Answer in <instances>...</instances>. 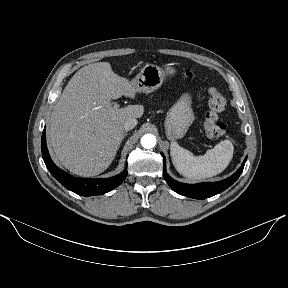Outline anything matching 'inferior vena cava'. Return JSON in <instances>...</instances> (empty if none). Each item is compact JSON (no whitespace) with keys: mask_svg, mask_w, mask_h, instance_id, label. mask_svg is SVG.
<instances>
[{"mask_svg":"<svg viewBox=\"0 0 288 288\" xmlns=\"http://www.w3.org/2000/svg\"><path fill=\"white\" fill-rule=\"evenodd\" d=\"M137 123L138 122L135 118L127 119L123 125V129L125 131H129V130L133 129L137 125Z\"/></svg>","mask_w":288,"mask_h":288,"instance_id":"inferior-vena-cava-1","label":"inferior vena cava"}]
</instances>
